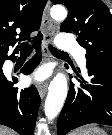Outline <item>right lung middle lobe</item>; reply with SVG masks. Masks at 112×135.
Masks as SVG:
<instances>
[{"mask_svg": "<svg viewBox=\"0 0 112 135\" xmlns=\"http://www.w3.org/2000/svg\"><path fill=\"white\" fill-rule=\"evenodd\" d=\"M2 66H3V62H0V71L2 69Z\"/></svg>", "mask_w": 112, "mask_h": 135, "instance_id": "1", "label": "right lung middle lobe"}]
</instances>
